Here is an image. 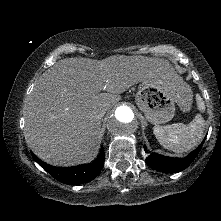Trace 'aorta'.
Segmentation results:
<instances>
[{"mask_svg": "<svg viewBox=\"0 0 221 221\" xmlns=\"http://www.w3.org/2000/svg\"><path fill=\"white\" fill-rule=\"evenodd\" d=\"M108 131L117 137H128L137 131L138 123L133 110L126 105L116 108L107 123Z\"/></svg>", "mask_w": 221, "mask_h": 221, "instance_id": "1", "label": "aorta"}]
</instances>
